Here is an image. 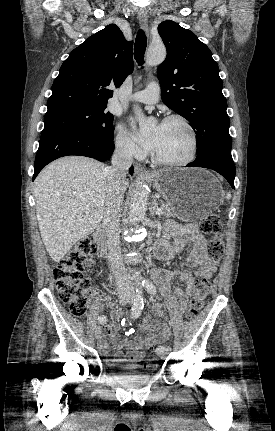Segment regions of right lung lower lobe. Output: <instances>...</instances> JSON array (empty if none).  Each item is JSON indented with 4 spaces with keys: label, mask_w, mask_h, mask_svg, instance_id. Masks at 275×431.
<instances>
[{
    "label": "right lung lower lobe",
    "mask_w": 275,
    "mask_h": 431,
    "mask_svg": "<svg viewBox=\"0 0 275 431\" xmlns=\"http://www.w3.org/2000/svg\"><path fill=\"white\" fill-rule=\"evenodd\" d=\"M113 151V138L68 128L43 130L34 163L33 180L48 163L59 157L80 155L106 161ZM133 171L131 167L130 174Z\"/></svg>",
    "instance_id": "1"
}]
</instances>
